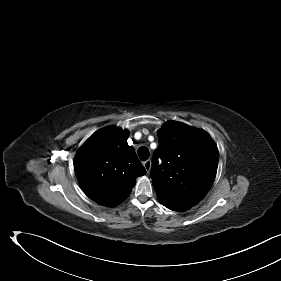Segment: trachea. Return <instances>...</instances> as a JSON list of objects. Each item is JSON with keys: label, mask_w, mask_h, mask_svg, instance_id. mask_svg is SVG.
<instances>
[{"label": "trachea", "mask_w": 281, "mask_h": 281, "mask_svg": "<svg viewBox=\"0 0 281 281\" xmlns=\"http://www.w3.org/2000/svg\"><path fill=\"white\" fill-rule=\"evenodd\" d=\"M137 153L142 161H145L149 158V149L145 146L140 147Z\"/></svg>", "instance_id": "trachea-1"}]
</instances>
